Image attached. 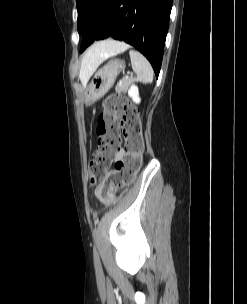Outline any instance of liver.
Here are the masks:
<instances>
[{"label": "liver", "instance_id": "liver-1", "mask_svg": "<svg viewBox=\"0 0 247 304\" xmlns=\"http://www.w3.org/2000/svg\"><path fill=\"white\" fill-rule=\"evenodd\" d=\"M128 45L114 40H105L92 45L81 61L80 80L85 85L98 66L110 56L125 51Z\"/></svg>", "mask_w": 247, "mask_h": 304}]
</instances>
